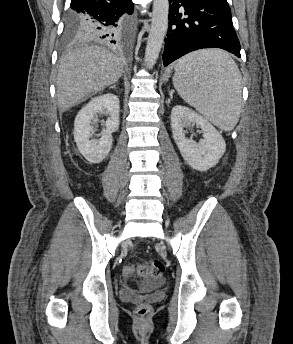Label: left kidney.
<instances>
[{"mask_svg":"<svg viewBox=\"0 0 293 344\" xmlns=\"http://www.w3.org/2000/svg\"><path fill=\"white\" fill-rule=\"evenodd\" d=\"M196 124L203 131L199 143L186 138L185 127ZM173 138L186 163L198 171H207L214 167L226 150V143L216 128L204 117L189 109L177 105L171 111Z\"/></svg>","mask_w":293,"mask_h":344,"instance_id":"obj_1","label":"left kidney"}]
</instances>
